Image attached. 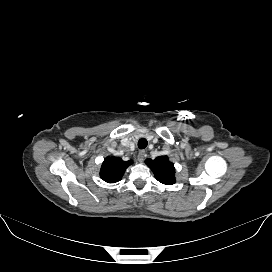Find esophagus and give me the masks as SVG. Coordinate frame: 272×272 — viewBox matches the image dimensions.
<instances>
[{"mask_svg": "<svg viewBox=\"0 0 272 272\" xmlns=\"http://www.w3.org/2000/svg\"><path fill=\"white\" fill-rule=\"evenodd\" d=\"M144 157H145V151H139L138 155H137V159L140 163L143 162L144 160Z\"/></svg>", "mask_w": 272, "mask_h": 272, "instance_id": "esophagus-1", "label": "esophagus"}]
</instances>
